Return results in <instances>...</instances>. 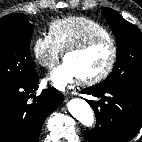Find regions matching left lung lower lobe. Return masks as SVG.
Here are the masks:
<instances>
[{
	"label": "left lung lower lobe",
	"mask_w": 142,
	"mask_h": 142,
	"mask_svg": "<svg viewBox=\"0 0 142 142\" xmlns=\"http://www.w3.org/2000/svg\"><path fill=\"white\" fill-rule=\"evenodd\" d=\"M100 98L87 100L96 114V126L83 135L88 142H129L142 127V86L112 84L83 89Z\"/></svg>",
	"instance_id": "obj_1"
}]
</instances>
